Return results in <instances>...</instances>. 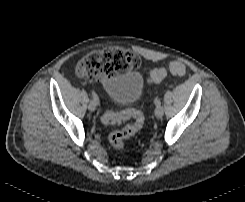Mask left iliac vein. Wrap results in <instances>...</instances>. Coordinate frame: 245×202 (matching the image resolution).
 <instances>
[{
  "label": "left iliac vein",
  "mask_w": 245,
  "mask_h": 202,
  "mask_svg": "<svg viewBox=\"0 0 245 202\" xmlns=\"http://www.w3.org/2000/svg\"><path fill=\"white\" fill-rule=\"evenodd\" d=\"M163 114H164V109H163V107H162V106H157V107L155 108V116H156L157 118H161V117L163 116Z\"/></svg>",
  "instance_id": "obj_1"
}]
</instances>
